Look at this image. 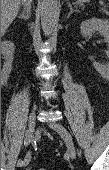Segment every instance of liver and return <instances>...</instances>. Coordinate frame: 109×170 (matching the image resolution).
Returning <instances> with one entry per match:
<instances>
[{"label": "liver", "instance_id": "liver-1", "mask_svg": "<svg viewBox=\"0 0 109 170\" xmlns=\"http://www.w3.org/2000/svg\"><path fill=\"white\" fill-rule=\"evenodd\" d=\"M22 0H1V31L9 27L18 14Z\"/></svg>", "mask_w": 109, "mask_h": 170}]
</instances>
